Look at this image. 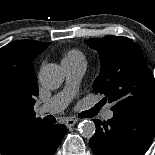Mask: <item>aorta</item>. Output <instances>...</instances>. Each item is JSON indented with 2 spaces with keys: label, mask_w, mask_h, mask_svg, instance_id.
I'll list each match as a JSON object with an SVG mask.
<instances>
[{
  "label": "aorta",
  "mask_w": 155,
  "mask_h": 155,
  "mask_svg": "<svg viewBox=\"0 0 155 155\" xmlns=\"http://www.w3.org/2000/svg\"><path fill=\"white\" fill-rule=\"evenodd\" d=\"M64 77V70L57 64H47L39 72L41 85L50 90L59 88L64 81ZM78 131L83 137L90 139L95 134L96 127L93 121L83 120L78 125Z\"/></svg>",
  "instance_id": "762f6f07"
}]
</instances>
